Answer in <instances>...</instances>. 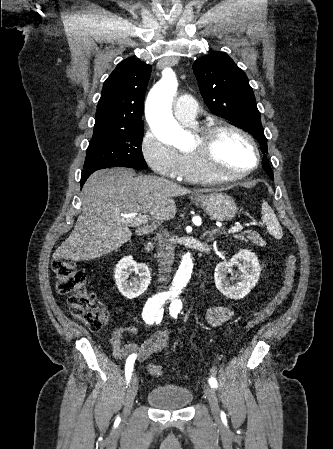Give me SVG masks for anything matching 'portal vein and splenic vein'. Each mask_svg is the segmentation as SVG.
I'll use <instances>...</instances> for the list:
<instances>
[{"label":"portal vein and splenic vein","instance_id":"obj_1","mask_svg":"<svg viewBox=\"0 0 333 449\" xmlns=\"http://www.w3.org/2000/svg\"><path fill=\"white\" fill-rule=\"evenodd\" d=\"M122 216L124 218H133V224L136 225V226L141 225L143 223H146L149 220L147 215H141V214H124ZM242 229H243L242 226L236 225V226L231 227L228 230V232L229 233H236V232L241 231Z\"/></svg>","mask_w":333,"mask_h":449}]
</instances>
